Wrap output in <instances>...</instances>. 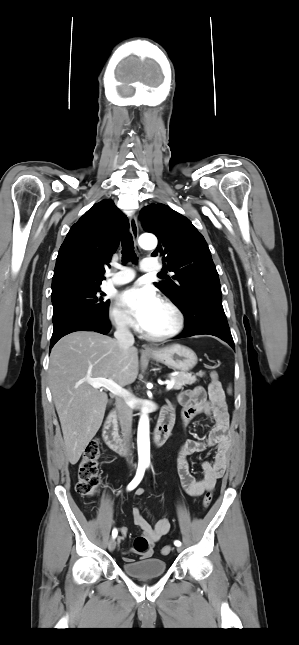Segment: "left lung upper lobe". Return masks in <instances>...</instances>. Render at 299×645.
<instances>
[{"label":"left lung upper lobe","mask_w":299,"mask_h":645,"mask_svg":"<svg viewBox=\"0 0 299 645\" xmlns=\"http://www.w3.org/2000/svg\"><path fill=\"white\" fill-rule=\"evenodd\" d=\"M146 232L155 234L158 246L152 256H161L164 269L173 279L155 286L173 298L185 320L195 324L202 303L211 295H221L218 272L202 234L189 219L169 206L152 203L140 212Z\"/></svg>","instance_id":"left-lung-upper-lobe-1"}]
</instances>
